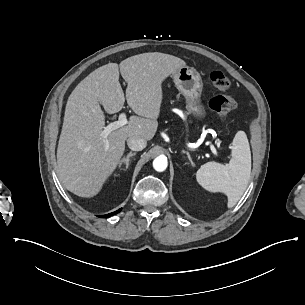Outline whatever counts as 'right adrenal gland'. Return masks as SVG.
<instances>
[{
	"label": "right adrenal gland",
	"instance_id": "2a0ac1e0",
	"mask_svg": "<svg viewBox=\"0 0 305 305\" xmlns=\"http://www.w3.org/2000/svg\"><path fill=\"white\" fill-rule=\"evenodd\" d=\"M135 155H136V153H132V151H131L130 154L126 157V159H124L120 163L119 170H122V166L124 165V171H127L128 165H129V159H130V157L135 156Z\"/></svg>",
	"mask_w": 305,
	"mask_h": 305
}]
</instances>
